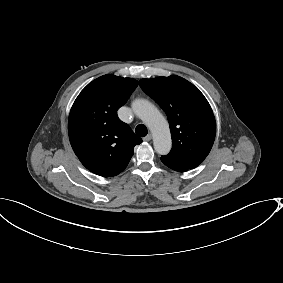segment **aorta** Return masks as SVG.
Instances as JSON below:
<instances>
[{
  "mask_svg": "<svg viewBox=\"0 0 283 283\" xmlns=\"http://www.w3.org/2000/svg\"><path fill=\"white\" fill-rule=\"evenodd\" d=\"M134 113L149 127L153 135V145L158 154L169 153L172 140L169 124L159 110L145 99H137L132 103Z\"/></svg>",
  "mask_w": 283,
  "mask_h": 283,
  "instance_id": "aorta-1",
  "label": "aorta"
}]
</instances>
